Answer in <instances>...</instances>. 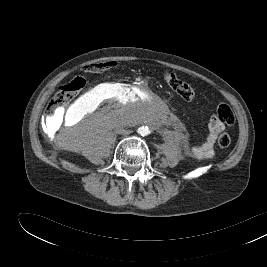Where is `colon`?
I'll return each instance as SVG.
<instances>
[{
    "label": "colon",
    "instance_id": "1",
    "mask_svg": "<svg viewBox=\"0 0 267 267\" xmlns=\"http://www.w3.org/2000/svg\"><path fill=\"white\" fill-rule=\"evenodd\" d=\"M112 65V62H104L92 64L87 67L89 71L104 70ZM165 83L182 99L191 101L195 98L194 88L187 82L181 80L172 72L164 73ZM85 80L82 77H74L66 84L61 86L53 96L47 106V116L53 117L63 107H65L73 98L83 89ZM219 118L227 125H232L234 122V114L227 104H219L216 110ZM231 144V138L227 133H222L218 138V146L220 149H226Z\"/></svg>",
    "mask_w": 267,
    "mask_h": 267
}]
</instances>
